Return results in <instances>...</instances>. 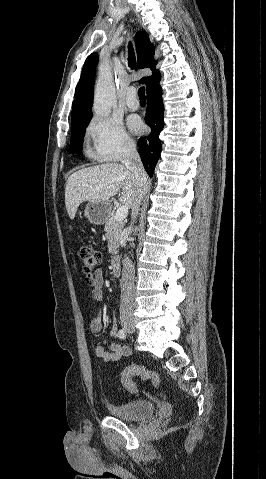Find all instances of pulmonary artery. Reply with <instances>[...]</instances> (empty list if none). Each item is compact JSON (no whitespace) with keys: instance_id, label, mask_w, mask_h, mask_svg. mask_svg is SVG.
<instances>
[{"instance_id":"e3ab8cb5","label":"pulmonary artery","mask_w":266,"mask_h":479,"mask_svg":"<svg viewBox=\"0 0 266 479\" xmlns=\"http://www.w3.org/2000/svg\"><path fill=\"white\" fill-rule=\"evenodd\" d=\"M126 105L131 111H135L139 108V100L136 97V91L134 88H130L126 93L125 99Z\"/></svg>"}]
</instances>
